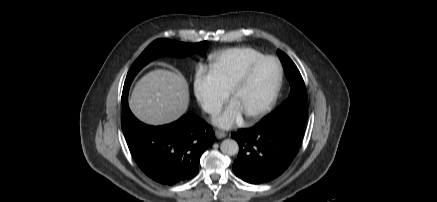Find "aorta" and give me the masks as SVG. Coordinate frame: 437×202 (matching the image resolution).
Listing matches in <instances>:
<instances>
[{"label":"aorta","mask_w":437,"mask_h":202,"mask_svg":"<svg viewBox=\"0 0 437 202\" xmlns=\"http://www.w3.org/2000/svg\"><path fill=\"white\" fill-rule=\"evenodd\" d=\"M220 149L226 155H235L239 151L238 143L233 139H226L221 143Z\"/></svg>","instance_id":"aorta-1"}]
</instances>
